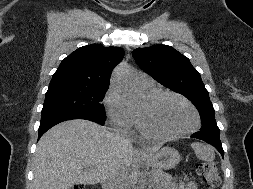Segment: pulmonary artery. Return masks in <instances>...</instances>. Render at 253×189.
<instances>
[{"label": "pulmonary artery", "instance_id": "pulmonary-artery-1", "mask_svg": "<svg viewBox=\"0 0 253 189\" xmlns=\"http://www.w3.org/2000/svg\"><path fill=\"white\" fill-rule=\"evenodd\" d=\"M136 84L140 89H144V90H149V89L154 88V82L152 81L151 78L147 76H142L139 79H137Z\"/></svg>", "mask_w": 253, "mask_h": 189}]
</instances>
